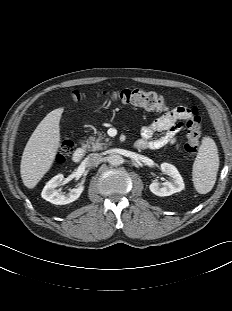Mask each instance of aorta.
Returning a JSON list of instances; mask_svg holds the SVG:
<instances>
[{
  "label": "aorta",
  "instance_id": "762f6f07",
  "mask_svg": "<svg viewBox=\"0 0 232 311\" xmlns=\"http://www.w3.org/2000/svg\"><path fill=\"white\" fill-rule=\"evenodd\" d=\"M108 162L112 166H119V165H121L123 163V158L119 154H111L108 157Z\"/></svg>",
  "mask_w": 232,
  "mask_h": 311
}]
</instances>
